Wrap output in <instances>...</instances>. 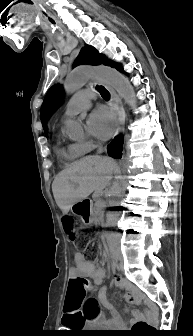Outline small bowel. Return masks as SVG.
Wrapping results in <instances>:
<instances>
[{"instance_id": "obj_1", "label": "small bowel", "mask_w": 193, "mask_h": 336, "mask_svg": "<svg viewBox=\"0 0 193 336\" xmlns=\"http://www.w3.org/2000/svg\"><path fill=\"white\" fill-rule=\"evenodd\" d=\"M73 266L69 272V284L66 299V306L62 318V323L66 327H72L75 322L86 321L85 311L83 308L84 294L80 284L87 280H92L96 285H101L105 279V270L98 266L97 262L89 261L80 252H74L72 256ZM113 283L126 290L124 301L126 303L143 302L144 299L140 292L130 283L126 282L120 276H115ZM100 297L106 309L110 312L111 317L100 318L95 322H102L105 325H119L121 320L116 307L107 301L106 288L101 289ZM150 308H154L149 304Z\"/></svg>"}]
</instances>
